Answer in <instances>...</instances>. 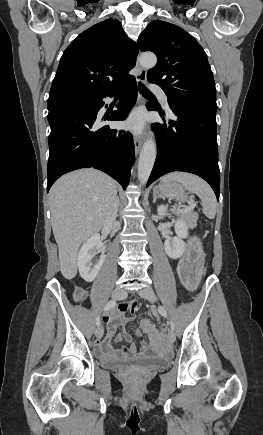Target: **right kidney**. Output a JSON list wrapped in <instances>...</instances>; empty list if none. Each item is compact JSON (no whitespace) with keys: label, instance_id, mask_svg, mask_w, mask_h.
Masks as SVG:
<instances>
[{"label":"right kidney","instance_id":"obj_1","mask_svg":"<svg viewBox=\"0 0 263 435\" xmlns=\"http://www.w3.org/2000/svg\"><path fill=\"white\" fill-rule=\"evenodd\" d=\"M103 244L99 234H94L82 245L77 259V265L81 277L92 282L100 271L105 260ZM101 253L99 259L93 260L96 254Z\"/></svg>","mask_w":263,"mask_h":435}]
</instances>
